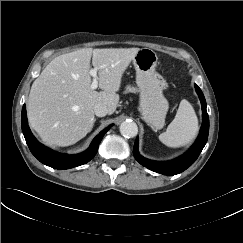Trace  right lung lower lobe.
I'll return each instance as SVG.
<instances>
[{
  "mask_svg": "<svg viewBox=\"0 0 243 243\" xmlns=\"http://www.w3.org/2000/svg\"><path fill=\"white\" fill-rule=\"evenodd\" d=\"M21 119L22 131L30 151L41 163L50 166L54 169H69L89 162L96 155L99 143L103 138L104 134L112 126L109 125L103 131H101L94 138L90 147L85 152L77 155H66L52 151L51 149L45 147L35 139L28 126L25 106H23L22 109Z\"/></svg>",
  "mask_w": 243,
  "mask_h": 243,
  "instance_id": "1",
  "label": "right lung lower lobe"
}]
</instances>
